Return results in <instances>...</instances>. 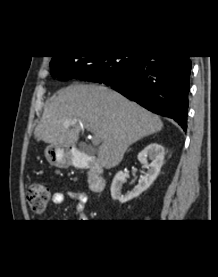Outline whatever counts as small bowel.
I'll list each match as a JSON object with an SVG mask.
<instances>
[{"instance_id":"c3829d8e","label":"small bowel","mask_w":218,"mask_h":277,"mask_svg":"<svg viewBox=\"0 0 218 277\" xmlns=\"http://www.w3.org/2000/svg\"><path fill=\"white\" fill-rule=\"evenodd\" d=\"M65 199L73 200L76 203L75 211L80 221L83 222L87 219L85 210L88 203V196L85 192L78 190H67L65 192H56L52 195V202L55 205H61Z\"/></svg>"}]
</instances>
